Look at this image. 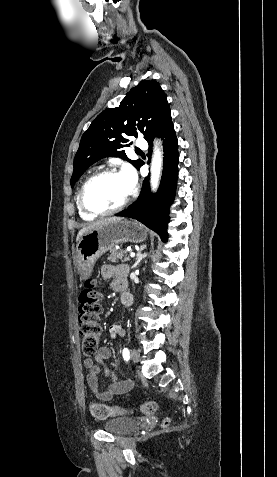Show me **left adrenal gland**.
<instances>
[{
	"label": "left adrenal gland",
	"instance_id": "obj_1",
	"mask_svg": "<svg viewBox=\"0 0 277 477\" xmlns=\"http://www.w3.org/2000/svg\"><path fill=\"white\" fill-rule=\"evenodd\" d=\"M146 248V245H142L139 252L137 253V256H136V262L134 263V265L132 266V268H136L139 263L141 262L142 259L146 258L148 256V254L144 253L142 254V251Z\"/></svg>",
	"mask_w": 277,
	"mask_h": 477
}]
</instances>
